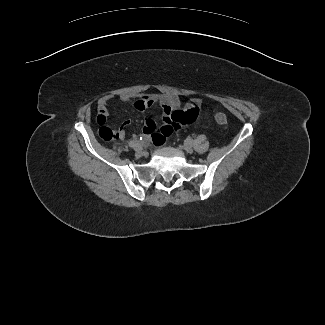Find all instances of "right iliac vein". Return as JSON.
I'll use <instances>...</instances> for the list:
<instances>
[{"instance_id": "obj_1", "label": "right iliac vein", "mask_w": 325, "mask_h": 325, "mask_svg": "<svg viewBox=\"0 0 325 325\" xmlns=\"http://www.w3.org/2000/svg\"><path fill=\"white\" fill-rule=\"evenodd\" d=\"M144 152H143V149L140 145H138V147L135 149V155L137 157H141L143 156Z\"/></svg>"}]
</instances>
